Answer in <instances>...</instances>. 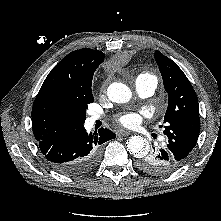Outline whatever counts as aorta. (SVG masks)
<instances>
[{"instance_id":"obj_1","label":"aorta","mask_w":221,"mask_h":221,"mask_svg":"<svg viewBox=\"0 0 221 221\" xmlns=\"http://www.w3.org/2000/svg\"><path fill=\"white\" fill-rule=\"evenodd\" d=\"M107 95L109 100L115 103H126L132 97L131 89L118 82H113L107 89ZM127 150L136 158H142L148 154V144L146 140L141 136H132L127 141Z\"/></svg>"}]
</instances>
